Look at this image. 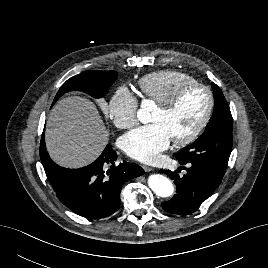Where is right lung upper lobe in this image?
<instances>
[{"mask_svg":"<svg viewBox=\"0 0 268 268\" xmlns=\"http://www.w3.org/2000/svg\"><path fill=\"white\" fill-rule=\"evenodd\" d=\"M40 157H41V161L44 166V169H46V171L48 172L49 168L52 166V160L49 158L44 144L40 145Z\"/></svg>","mask_w":268,"mask_h":268,"instance_id":"1","label":"right lung upper lobe"}]
</instances>
